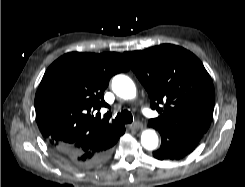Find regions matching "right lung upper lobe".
I'll return each mask as SVG.
<instances>
[{
	"label": "right lung upper lobe",
	"mask_w": 245,
	"mask_h": 187,
	"mask_svg": "<svg viewBox=\"0 0 245 187\" xmlns=\"http://www.w3.org/2000/svg\"><path fill=\"white\" fill-rule=\"evenodd\" d=\"M128 70L123 56L115 52H71L49 66L35 96V110L38 127L55 151L120 127L93 112L109 107L103 92L110 78Z\"/></svg>",
	"instance_id": "obj_1"
}]
</instances>
